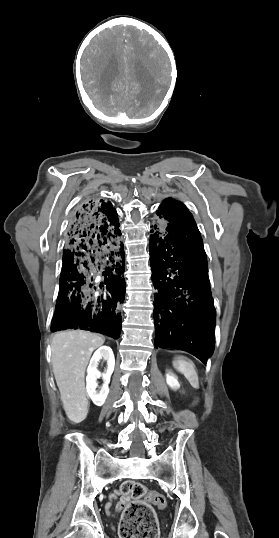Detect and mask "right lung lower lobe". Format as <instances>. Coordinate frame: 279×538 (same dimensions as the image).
Returning a JSON list of instances; mask_svg holds the SVG:
<instances>
[{
    "label": "right lung lower lobe",
    "instance_id": "right-lung-lower-lobe-1",
    "mask_svg": "<svg viewBox=\"0 0 279 538\" xmlns=\"http://www.w3.org/2000/svg\"><path fill=\"white\" fill-rule=\"evenodd\" d=\"M116 210L91 199L71 216L51 331L69 328L118 337L125 299V253Z\"/></svg>",
    "mask_w": 279,
    "mask_h": 538
}]
</instances>
